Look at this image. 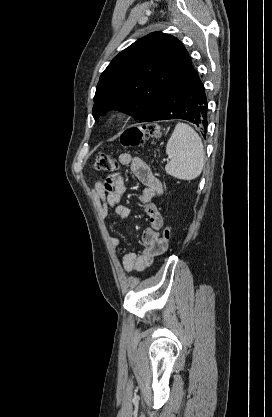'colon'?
Returning <instances> with one entry per match:
<instances>
[{"instance_id": "obj_1", "label": "colon", "mask_w": 272, "mask_h": 417, "mask_svg": "<svg viewBox=\"0 0 272 417\" xmlns=\"http://www.w3.org/2000/svg\"><path fill=\"white\" fill-rule=\"evenodd\" d=\"M161 135L160 127L156 123L137 125L126 129L120 138L121 144L125 147H136L145 140L157 139ZM118 168L117 160L110 154L100 153L96 156L93 169L97 172H114ZM172 235V227L167 226L162 234V240L168 243Z\"/></svg>"}]
</instances>
